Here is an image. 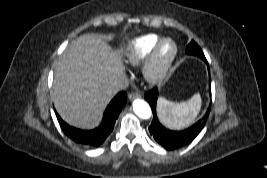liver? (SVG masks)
Returning a JSON list of instances; mask_svg holds the SVG:
<instances>
[{
	"label": "liver",
	"instance_id": "liver-1",
	"mask_svg": "<svg viewBox=\"0 0 267 178\" xmlns=\"http://www.w3.org/2000/svg\"><path fill=\"white\" fill-rule=\"evenodd\" d=\"M122 76L120 56L98 35H81L69 43L56 63L54 106L68 124L92 128L113 97L108 87Z\"/></svg>",
	"mask_w": 267,
	"mask_h": 178
}]
</instances>
